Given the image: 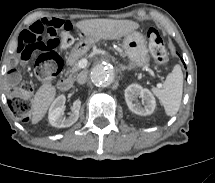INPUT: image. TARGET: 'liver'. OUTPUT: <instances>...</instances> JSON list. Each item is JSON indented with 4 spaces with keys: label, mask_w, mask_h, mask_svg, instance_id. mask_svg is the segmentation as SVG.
<instances>
[{
    "label": "liver",
    "mask_w": 215,
    "mask_h": 183,
    "mask_svg": "<svg viewBox=\"0 0 215 183\" xmlns=\"http://www.w3.org/2000/svg\"><path fill=\"white\" fill-rule=\"evenodd\" d=\"M75 26L84 35L100 39H118L135 31L140 25L131 20L90 19L79 21ZM56 95V88L51 83H44L37 90L32 100V124H37L46 114Z\"/></svg>",
    "instance_id": "liver-1"
}]
</instances>
